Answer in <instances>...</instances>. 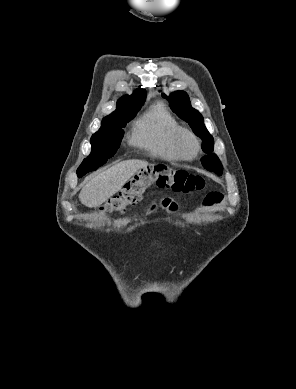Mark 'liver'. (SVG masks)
<instances>
[{
  "label": "liver",
  "mask_w": 296,
  "mask_h": 389,
  "mask_svg": "<svg viewBox=\"0 0 296 389\" xmlns=\"http://www.w3.org/2000/svg\"><path fill=\"white\" fill-rule=\"evenodd\" d=\"M147 165L148 162L142 160H126L91 177L79 194L81 203L89 208L100 206Z\"/></svg>",
  "instance_id": "6515ba94"
}]
</instances>
